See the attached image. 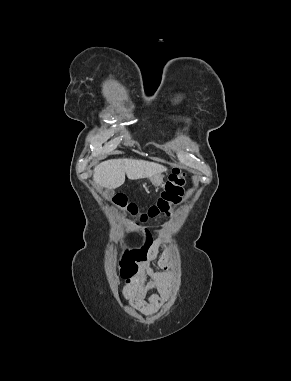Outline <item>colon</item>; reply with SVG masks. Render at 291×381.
Listing matches in <instances>:
<instances>
[{"label": "colon", "mask_w": 291, "mask_h": 381, "mask_svg": "<svg viewBox=\"0 0 291 381\" xmlns=\"http://www.w3.org/2000/svg\"><path fill=\"white\" fill-rule=\"evenodd\" d=\"M186 174L181 170H175L170 175L164 185L161 196L156 203L148 207L146 210L139 212L135 204L129 202L126 197L118 196L114 199V204L125 210L132 217L140 222H146L159 216H168L174 206L178 205L183 196V185L185 183ZM140 251H130L124 256L127 265H132L139 258Z\"/></svg>", "instance_id": "colon-1"}]
</instances>
